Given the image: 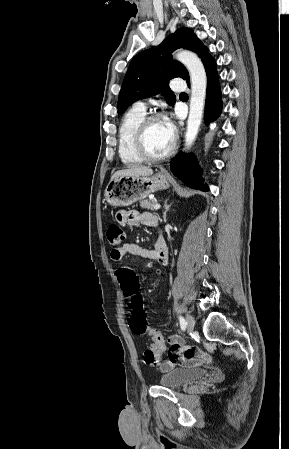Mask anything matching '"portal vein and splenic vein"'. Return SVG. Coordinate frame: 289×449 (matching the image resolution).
Masks as SVG:
<instances>
[{
  "label": "portal vein and splenic vein",
  "instance_id": "portal-vein-and-splenic-vein-1",
  "mask_svg": "<svg viewBox=\"0 0 289 449\" xmlns=\"http://www.w3.org/2000/svg\"><path fill=\"white\" fill-rule=\"evenodd\" d=\"M154 209H155V210L160 209V205L156 203V204L154 205Z\"/></svg>",
  "mask_w": 289,
  "mask_h": 449
}]
</instances>
